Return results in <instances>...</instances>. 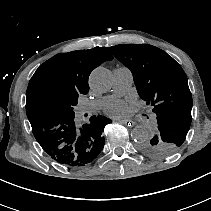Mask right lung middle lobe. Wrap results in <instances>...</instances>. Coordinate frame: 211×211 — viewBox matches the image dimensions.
Here are the masks:
<instances>
[{
	"label": "right lung middle lobe",
	"mask_w": 211,
	"mask_h": 211,
	"mask_svg": "<svg viewBox=\"0 0 211 211\" xmlns=\"http://www.w3.org/2000/svg\"><path fill=\"white\" fill-rule=\"evenodd\" d=\"M78 98L61 99L52 103L47 111V117L53 118H73L75 117L74 107Z\"/></svg>",
	"instance_id": "right-lung-middle-lobe-1"
}]
</instances>
